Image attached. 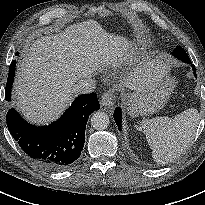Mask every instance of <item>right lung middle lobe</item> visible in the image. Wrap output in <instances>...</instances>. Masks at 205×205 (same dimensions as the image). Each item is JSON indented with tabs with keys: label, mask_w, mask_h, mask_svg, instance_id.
I'll return each instance as SVG.
<instances>
[{
	"label": "right lung middle lobe",
	"mask_w": 205,
	"mask_h": 205,
	"mask_svg": "<svg viewBox=\"0 0 205 205\" xmlns=\"http://www.w3.org/2000/svg\"><path fill=\"white\" fill-rule=\"evenodd\" d=\"M16 56H18V52L16 53ZM15 65H16L15 62L12 61L9 67V74H8L6 90H5V99L7 101H10L11 89H12V84L14 81V74H15Z\"/></svg>",
	"instance_id": "obj_1"
}]
</instances>
